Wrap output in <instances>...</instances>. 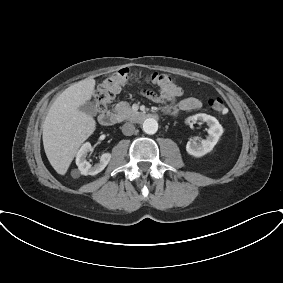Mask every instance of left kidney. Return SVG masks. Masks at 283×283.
I'll return each mask as SVG.
<instances>
[{
	"mask_svg": "<svg viewBox=\"0 0 283 283\" xmlns=\"http://www.w3.org/2000/svg\"><path fill=\"white\" fill-rule=\"evenodd\" d=\"M195 121L206 122L209 126V135L206 139L201 140L200 142H196L195 140L188 141L186 151L194 157H202L211 152L214 146L218 143L221 135L223 134V127L215 117L204 113L196 114L186 120L188 124Z\"/></svg>",
	"mask_w": 283,
	"mask_h": 283,
	"instance_id": "1",
	"label": "left kidney"
}]
</instances>
